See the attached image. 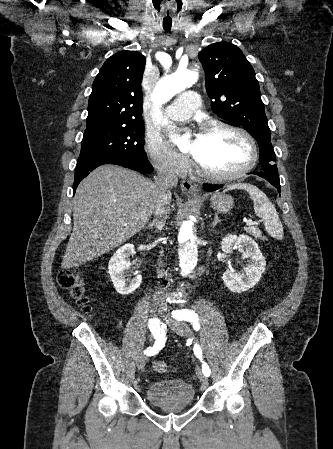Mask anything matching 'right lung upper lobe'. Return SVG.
Listing matches in <instances>:
<instances>
[{"label":"right lung upper lobe","instance_id":"right-lung-upper-lobe-1","mask_svg":"<svg viewBox=\"0 0 333 449\" xmlns=\"http://www.w3.org/2000/svg\"><path fill=\"white\" fill-rule=\"evenodd\" d=\"M145 57L120 51L103 64L89 97L87 127L142 122L141 81Z\"/></svg>","mask_w":333,"mask_h":449}]
</instances>
